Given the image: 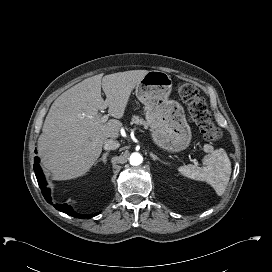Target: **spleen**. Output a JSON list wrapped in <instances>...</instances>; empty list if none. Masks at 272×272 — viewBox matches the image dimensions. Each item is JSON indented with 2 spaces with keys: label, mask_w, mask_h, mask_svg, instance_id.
I'll return each instance as SVG.
<instances>
[{
  "label": "spleen",
  "mask_w": 272,
  "mask_h": 272,
  "mask_svg": "<svg viewBox=\"0 0 272 272\" xmlns=\"http://www.w3.org/2000/svg\"><path fill=\"white\" fill-rule=\"evenodd\" d=\"M204 168L192 164L183 165L178 172L190 179L205 181L210 184L218 195L226 189L231 175V162L223 149L215 150L204 157Z\"/></svg>",
  "instance_id": "obj_1"
}]
</instances>
